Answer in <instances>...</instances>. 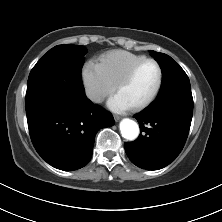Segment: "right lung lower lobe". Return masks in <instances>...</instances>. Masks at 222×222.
Wrapping results in <instances>:
<instances>
[{"instance_id": "1", "label": "right lung lower lobe", "mask_w": 222, "mask_h": 222, "mask_svg": "<svg viewBox=\"0 0 222 222\" xmlns=\"http://www.w3.org/2000/svg\"><path fill=\"white\" fill-rule=\"evenodd\" d=\"M32 143L51 166L72 171L91 159L95 135L114 124L111 113L86 96L76 105L41 103L26 108Z\"/></svg>"}]
</instances>
